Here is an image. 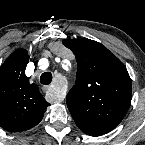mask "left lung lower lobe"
Instances as JSON below:
<instances>
[{
	"label": "left lung lower lobe",
	"instance_id": "obj_1",
	"mask_svg": "<svg viewBox=\"0 0 145 145\" xmlns=\"http://www.w3.org/2000/svg\"><path fill=\"white\" fill-rule=\"evenodd\" d=\"M91 136H99V135H91Z\"/></svg>",
	"mask_w": 145,
	"mask_h": 145
}]
</instances>
